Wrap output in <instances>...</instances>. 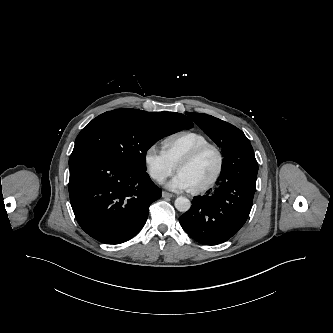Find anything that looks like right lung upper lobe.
<instances>
[{"instance_id":"cb5924a9","label":"right lung upper lobe","mask_w":333,"mask_h":333,"mask_svg":"<svg viewBox=\"0 0 333 333\" xmlns=\"http://www.w3.org/2000/svg\"><path fill=\"white\" fill-rule=\"evenodd\" d=\"M133 110L135 113L141 115L144 118H147L149 120H153V121H163L169 118H174L177 119L191 127H193V123L192 121L184 116L183 114L180 113H175V112H146V111H142V110H136V109H131Z\"/></svg>"}]
</instances>
